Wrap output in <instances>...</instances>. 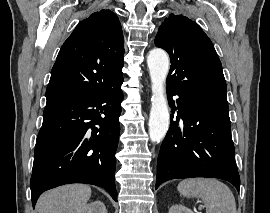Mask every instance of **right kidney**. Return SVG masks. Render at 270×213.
<instances>
[{
  "instance_id": "right-kidney-1",
  "label": "right kidney",
  "mask_w": 270,
  "mask_h": 213,
  "mask_svg": "<svg viewBox=\"0 0 270 213\" xmlns=\"http://www.w3.org/2000/svg\"><path fill=\"white\" fill-rule=\"evenodd\" d=\"M76 213H107V210L103 202L94 201L84 205Z\"/></svg>"
}]
</instances>
